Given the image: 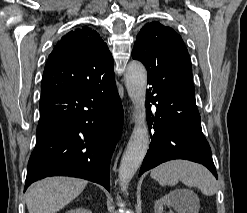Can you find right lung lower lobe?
<instances>
[{"instance_id":"98d812e1","label":"right lung lower lobe","mask_w":247,"mask_h":213,"mask_svg":"<svg viewBox=\"0 0 247 213\" xmlns=\"http://www.w3.org/2000/svg\"><path fill=\"white\" fill-rule=\"evenodd\" d=\"M123 115L114 75L41 99L36 146L24 191L48 176L79 177L110 191V160L121 135Z\"/></svg>"}]
</instances>
